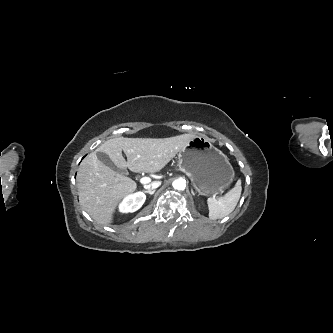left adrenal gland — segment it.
Returning <instances> with one entry per match:
<instances>
[{
  "label": "left adrenal gland",
  "mask_w": 333,
  "mask_h": 333,
  "mask_svg": "<svg viewBox=\"0 0 333 333\" xmlns=\"http://www.w3.org/2000/svg\"><path fill=\"white\" fill-rule=\"evenodd\" d=\"M191 193L194 195V191H193V189H191Z\"/></svg>",
  "instance_id": "1"
}]
</instances>
